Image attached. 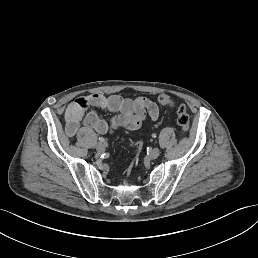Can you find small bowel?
Returning a JSON list of instances; mask_svg holds the SVG:
<instances>
[{
	"instance_id": "obj_1",
	"label": "small bowel",
	"mask_w": 258,
	"mask_h": 258,
	"mask_svg": "<svg viewBox=\"0 0 258 258\" xmlns=\"http://www.w3.org/2000/svg\"><path fill=\"white\" fill-rule=\"evenodd\" d=\"M97 110L109 111L114 115L104 119ZM147 117L152 121L159 117L157 104L148 97L128 99L94 93L78 97L68 104L65 110L66 134L75 136L81 125L102 135L118 129L137 130Z\"/></svg>"
}]
</instances>
